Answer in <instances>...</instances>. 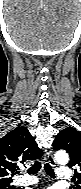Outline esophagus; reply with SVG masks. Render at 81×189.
Instances as JSON below:
<instances>
[{
  "mask_svg": "<svg viewBox=\"0 0 81 189\" xmlns=\"http://www.w3.org/2000/svg\"><path fill=\"white\" fill-rule=\"evenodd\" d=\"M46 159L48 161V163L51 165V166H55V160L53 158V155H52V152L51 151H47L46 153Z\"/></svg>",
  "mask_w": 81,
  "mask_h": 189,
  "instance_id": "1",
  "label": "esophagus"
}]
</instances>
